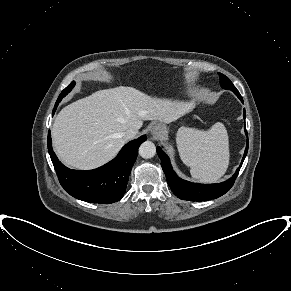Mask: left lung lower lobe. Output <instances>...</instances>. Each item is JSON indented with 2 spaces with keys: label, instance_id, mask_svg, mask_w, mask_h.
I'll return each instance as SVG.
<instances>
[{
  "label": "left lung lower lobe",
  "instance_id": "0a47b994",
  "mask_svg": "<svg viewBox=\"0 0 291 291\" xmlns=\"http://www.w3.org/2000/svg\"><path fill=\"white\" fill-rule=\"evenodd\" d=\"M238 98L243 102L242 97L240 94L237 95ZM243 117L245 119L246 112L244 110ZM245 133L248 139V134L245 127ZM248 151V140L247 146L244 152V156L242 162L234 175L229 178L228 180L217 183V184H198L185 181L177 176L174 172L169 157L163 151L161 147H157V153L161 159V166L166 175L167 183L170 186L172 192L180 199L187 200V201H207L211 199H216L222 195H224L230 188L233 186L235 179L238 176L239 170L243 164V161L247 155Z\"/></svg>",
  "mask_w": 291,
  "mask_h": 291
}]
</instances>
